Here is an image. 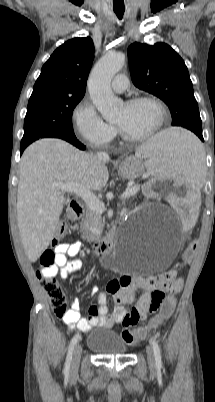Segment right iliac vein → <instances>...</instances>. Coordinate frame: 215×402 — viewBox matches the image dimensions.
I'll return each instance as SVG.
<instances>
[{"label":"right iliac vein","instance_id":"1","mask_svg":"<svg viewBox=\"0 0 215 402\" xmlns=\"http://www.w3.org/2000/svg\"><path fill=\"white\" fill-rule=\"evenodd\" d=\"M82 354V346L80 344L76 345L73 354L72 367H71V375H75L78 371L80 359Z\"/></svg>","mask_w":215,"mask_h":402}]
</instances>
